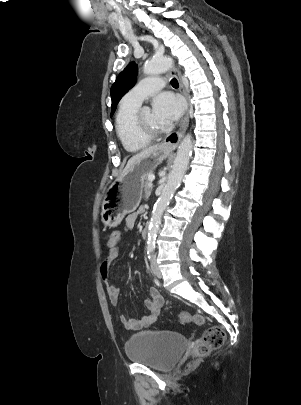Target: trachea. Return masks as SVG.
Returning <instances> with one entry per match:
<instances>
[{"label":"trachea","instance_id":"trachea-1","mask_svg":"<svg viewBox=\"0 0 301 405\" xmlns=\"http://www.w3.org/2000/svg\"><path fill=\"white\" fill-rule=\"evenodd\" d=\"M171 85H172V87H174V88H178V87H179V84H178V81H177L176 78H173V79L171 80Z\"/></svg>","mask_w":301,"mask_h":405}]
</instances>
